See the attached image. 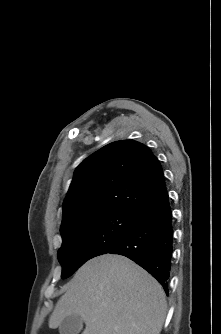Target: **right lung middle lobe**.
I'll list each match as a JSON object with an SVG mask.
<instances>
[{
    "label": "right lung middle lobe",
    "mask_w": 221,
    "mask_h": 334,
    "mask_svg": "<svg viewBox=\"0 0 221 334\" xmlns=\"http://www.w3.org/2000/svg\"><path fill=\"white\" fill-rule=\"evenodd\" d=\"M135 218L136 214L114 211L88 218L70 228L62 235L58 251L61 277H69L87 260L114 248Z\"/></svg>",
    "instance_id": "right-lung-middle-lobe-1"
}]
</instances>
